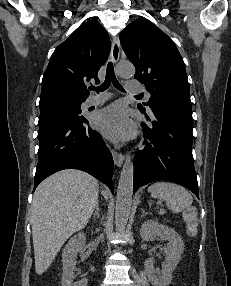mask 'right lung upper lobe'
<instances>
[{
    "mask_svg": "<svg viewBox=\"0 0 231 286\" xmlns=\"http://www.w3.org/2000/svg\"><path fill=\"white\" fill-rule=\"evenodd\" d=\"M110 52L107 31L97 21L80 25L54 51L42 79L40 107L85 101L89 91L84 82L95 79Z\"/></svg>",
    "mask_w": 231,
    "mask_h": 286,
    "instance_id": "1",
    "label": "right lung upper lobe"
}]
</instances>
